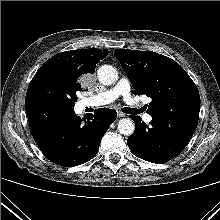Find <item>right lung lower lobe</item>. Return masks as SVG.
<instances>
[{
  "label": "right lung lower lobe",
  "instance_id": "right-lung-lower-lobe-1",
  "mask_svg": "<svg viewBox=\"0 0 220 220\" xmlns=\"http://www.w3.org/2000/svg\"><path fill=\"white\" fill-rule=\"evenodd\" d=\"M25 106L39 148L50 161L61 166L73 167L92 159L117 117L115 110L100 108L83 120L74 108L43 99H26Z\"/></svg>",
  "mask_w": 220,
  "mask_h": 220
}]
</instances>
